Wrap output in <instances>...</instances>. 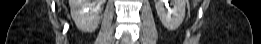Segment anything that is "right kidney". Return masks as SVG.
<instances>
[{
    "instance_id": "obj_1",
    "label": "right kidney",
    "mask_w": 261,
    "mask_h": 44,
    "mask_svg": "<svg viewBox=\"0 0 261 44\" xmlns=\"http://www.w3.org/2000/svg\"><path fill=\"white\" fill-rule=\"evenodd\" d=\"M71 16L79 30L83 32H91L95 30L99 24L100 16L98 10L101 2L96 0H69Z\"/></svg>"
}]
</instances>
